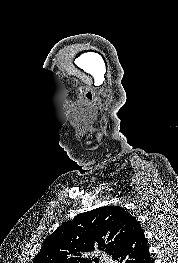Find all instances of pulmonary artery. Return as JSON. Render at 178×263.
Here are the masks:
<instances>
[{
  "label": "pulmonary artery",
  "mask_w": 178,
  "mask_h": 263,
  "mask_svg": "<svg viewBox=\"0 0 178 263\" xmlns=\"http://www.w3.org/2000/svg\"><path fill=\"white\" fill-rule=\"evenodd\" d=\"M101 261L102 263H113V261L110 258L105 256H101Z\"/></svg>",
  "instance_id": "pulmonary-artery-1"
}]
</instances>
